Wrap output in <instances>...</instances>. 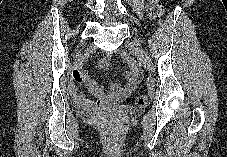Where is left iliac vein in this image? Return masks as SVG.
Returning <instances> with one entry per match:
<instances>
[{"instance_id":"1","label":"left iliac vein","mask_w":227,"mask_h":157,"mask_svg":"<svg viewBox=\"0 0 227 157\" xmlns=\"http://www.w3.org/2000/svg\"><path fill=\"white\" fill-rule=\"evenodd\" d=\"M127 47L140 59L144 67L151 70L152 61L138 40L126 41Z\"/></svg>"}]
</instances>
